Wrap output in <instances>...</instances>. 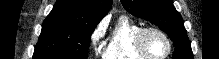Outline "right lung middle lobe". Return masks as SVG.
I'll list each match as a JSON object with an SVG mask.
<instances>
[{
    "label": "right lung middle lobe",
    "mask_w": 219,
    "mask_h": 59,
    "mask_svg": "<svg viewBox=\"0 0 219 59\" xmlns=\"http://www.w3.org/2000/svg\"><path fill=\"white\" fill-rule=\"evenodd\" d=\"M95 27L83 21L45 19L32 59H87Z\"/></svg>",
    "instance_id": "obj_1"
}]
</instances>
